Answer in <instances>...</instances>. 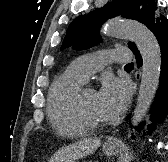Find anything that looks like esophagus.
Listing matches in <instances>:
<instances>
[{"label":"esophagus","instance_id":"1","mask_svg":"<svg viewBox=\"0 0 168 162\" xmlns=\"http://www.w3.org/2000/svg\"><path fill=\"white\" fill-rule=\"evenodd\" d=\"M108 142H113V140H112V139H109Z\"/></svg>","mask_w":168,"mask_h":162}]
</instances>
